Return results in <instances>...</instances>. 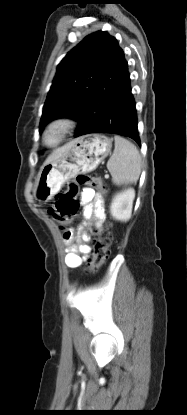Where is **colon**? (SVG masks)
<instances>
[{
  "label": "colon",
  "mask_w": 187,
  "mask_h": 415,
  "mask_svg": "<svg viewBox=\"0 0 187 415\" xmlns=\"http://www.w3.org/2000/svg\"><path fill=\"white\" fill-rule=\"evenodd\" d=\"M79 186L104 191V184L101 177L90 175L78 176L76 183L69 184L63 192L58 194L55 209L50 211L62 228H65L69 220L79 209V201L77 200ZM110 244L111 236L109 232L97 235L94 241L93 254L89 262L90 270L96 271L105 264L108 258Z\"/></svg>",
  "instance_id": "5ec220e1"
}]
</instances>
